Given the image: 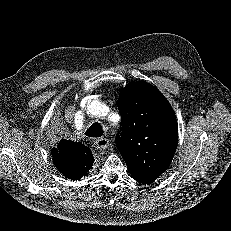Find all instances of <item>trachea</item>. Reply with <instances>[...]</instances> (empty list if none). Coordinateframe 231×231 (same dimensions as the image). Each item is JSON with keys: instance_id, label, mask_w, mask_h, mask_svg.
I'll return each instance as SVG.
<instances>
[{"instance_id": "3493384b", "label": "trachea", "mask_w": 231, "mask_h": 231, "mask_svg": "<svg viewBox=\"0 0 231 231\" xmlns=\"http://www.w3.org/2000/svg\"><path fill=\"white\" fill-rule=\"evenodd\" d=\"M104 131L101 125L98 122H94L85 132V135L88 137H101Z\"/></svg>"}]
</instances>
